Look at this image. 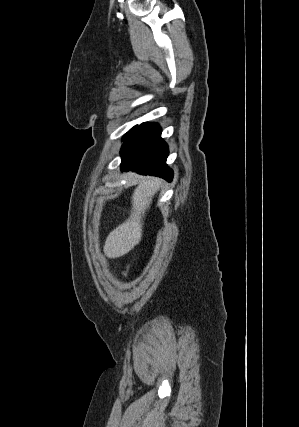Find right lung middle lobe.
I'll use <instances>...</instances> for the list:
<instances>
[{
	"instance_id": "obj_1",
	"label": "right lung middle lobe",
	"mask_w": 299,
	"mask_h": 427,
	"mask_svg": "<svg viewBox=\"0 0 299 427\" xmlns=\"http://www.w3.org/2000/svg\"><path fill=\"white\" fill-rule=\"evenodd\" d=\"M135 128H136V126H135V127H133L129 132H127V133L124 135L123 140H124L125 138H127V137L130 135V133H131Z\"/></svg>"
}]
</instances>
